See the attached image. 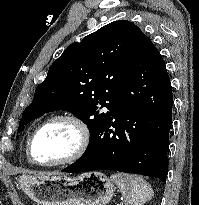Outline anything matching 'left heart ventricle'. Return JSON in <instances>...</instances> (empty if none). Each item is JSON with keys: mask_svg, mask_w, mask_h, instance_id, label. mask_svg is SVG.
Returning a JSON list of instances; mask_svg holds the SVG:
<instances>
[{"mask_svg": "<svg viewBox=\"0 0 199 205\" xmlns=\"http://www.w3.org/2000/svg\"><path fill=\"white\" fill-rule=\"evenodd\" d=\"M77 143L75 128L66 122H55L45 127L35 138L34 158L39 162H52L64 158Z\"/></svg>", "mask_w": 199, "mask_h": 205, "instance_id": "left-heart-ventricle-1", "label": "left heart ventricle"}]
</instances>
